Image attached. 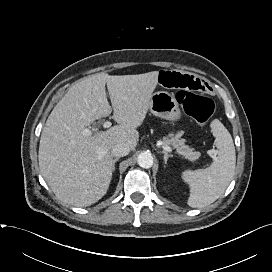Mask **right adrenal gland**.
<instances>
[{"label":"right adrenal gland","instance_id":"1","mask_svg":"<svg viewBox=\"0 0 272 272\" xmlns=\"http://www.w3.org/2000/svg\"><path fill=\"white\" fill-rule=\"evenodd\" d=\"M119 160V158H115L112 163V172L115 170V163Z\"/></svg>","mask_w":272,"mask_h":272}]
</instances>
